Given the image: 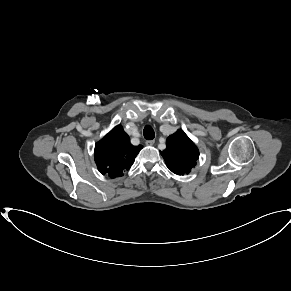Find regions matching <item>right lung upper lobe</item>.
I'll return each instance as SVG.
<instances>
[{
	"label": "right lung upper lobe",
	"mask_w": 291,
	"mask_h": 291,
	"mask_svg": "<svg viewBox=\"0 0 291 291\" xmlns=\"http://www.w3.org/2000/svg\"><path fill=\"white\" fill-rule=\"evenodd\" d=\"M142 146H133L121 125L114 127L95 145V163L100 173L120 177L133 164Z\"/></svg>",
	"instance_id": "right-lung-upper-lobe-1"
}]
</instances>
